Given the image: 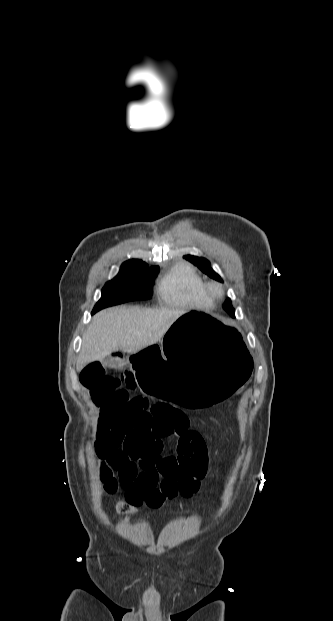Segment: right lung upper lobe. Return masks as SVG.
<instances>
[{"instance_id":"right-lung-upper-lobe-1","label":"right lung upper lobe","mask_w":333,"mask_h":621,"mask_svg":"<svg viewBox=\"0 0 333 621\" xmlns=\"http://www.w3.org/2000/svg\"><path fill=\"white\" fill-rule=\"evenodd\" d=\"M123 264L139 265V266L149 267L147 263L143 262L142 260H138V259H131V260H128V261L124 262ZM153 267H155V266H152V268Z\"/></svg>"}]
</instances>
